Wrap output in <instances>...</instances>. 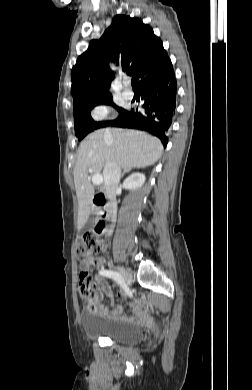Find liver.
I'll return each mask as SVG.
<instances>
[{
	"label": "liver",
	"mask_w": 252,
	"mask_h": 390,
	"mask_svg": "<svg viewBox=\"0 0 252 390\" xmlns=\"http://www.w3.org/2000/svg\"><path fill=\"white\" fill-rule=\"evenodd\" d=\"M162 152L160 140L142 131L100 129L89 134L80 143L74 168L78 229L84 226L91 212L94 189L89 174H100L108 162H115L124 169L148 167L158 161Z\"/></svg>",
	"instance_id": "1"
}]
</instances>
